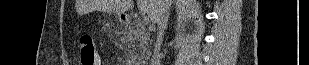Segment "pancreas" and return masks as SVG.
Instances as JSON below:
<instances>
[{
  "instance_id": "1",
  "label": "pancreas",
  "mask_w": 309,
  "mask_h": 65,
  "mask_svg": "<svg viewBox=\"0 0 309 65\" xmlns=\"http://www.w3.org/2000/svg\"><path fill=\"white\" fill-rule=\"evenodd\" d=\"M149 36L148 31L142 23L135 21L130 25L128 36L130 50L127 54L129 58L136 59L138 62H141L145 58V53H149V43H151Z\"/></svg>"
}]
</instances>
